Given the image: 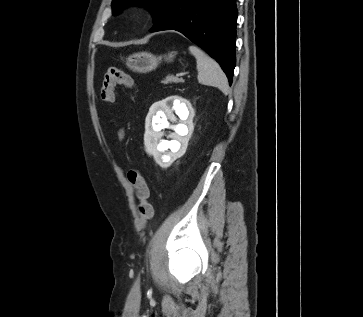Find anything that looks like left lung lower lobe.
<instances>
[{
	"label": "left lung lower lobe",
	"mask_w": 363,
	"mask_h": 317,
	"mask_svg": "<svg viewBox=\"0 0 363 317\" xmlns=\"http://www.w3.org/2000/svg\"><path fill=\"white\" fill-rule=\"evenodd\" d=\"M236 20L235 0H168L150 32H181L219 62L231 84Z\"/></svg>",
	"instance_id": "0a47b994"
}]
</instances>
